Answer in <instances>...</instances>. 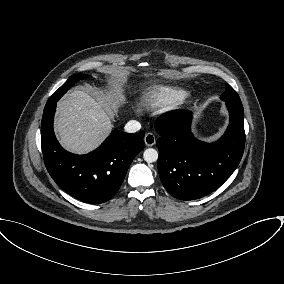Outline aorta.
<instances>
[{
	"instance_id": "aorta-1",
	"label": "aorta",
	"mask_w": 284,
	"mask_h": 284,
	"mask_svg": "<svg viewBox=\"0 0 284 284\" xmlns=\"http://www.w3.org/2000/svg\"><path fill=\"white\" fill-rule=\"evenodd\" d=\"M143 158L148 163H153L158 160V152L154 148H148L143 153Z\"/></svg>"
}]
</instances>
